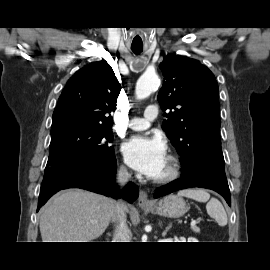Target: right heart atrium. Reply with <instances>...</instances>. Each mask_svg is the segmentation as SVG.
<instances>
[{
  "mask_svg": "<svg viewBox=\"0 0 270 270\" xmlns=\"http://www.w3.org/2000/svg\"><path fill=\"white\" fill-rule=\"evenodd\" d=\"M118 172H119L120 175H122V176H124V177H128L129 174H130L128 167H127L124 163H122V164L119 166Z\"/></svg>",
  "mask_w": 270,
  "mask_h": 270,
  "instance_id": "d8ad5b80",
  "label": "right heart atrium"
}]
</instances>
